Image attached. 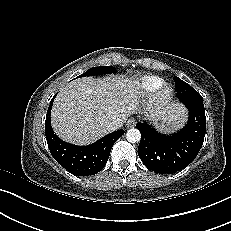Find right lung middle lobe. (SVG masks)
<instances>
[{"instance_id": "dd1d6c3e", "label": "right lung middle lobe", "mask_w": 231, "mask_h": 231, "mask_svg": "<svg viewBox=\"0 0 231 231\" xmlns=\"http://www.w3.org/2000/svg\"><path fill=\"white\" fill-rule=\"evenodd\" d=\"M117 72L113 66H103V67H92L88 69L85 73H83L79 77L107 74V73H115Z\"/></svg>"}]
</instances>
